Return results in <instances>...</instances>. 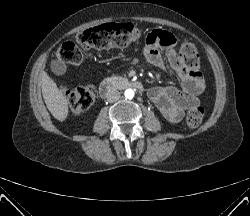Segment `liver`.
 <instances>
[{"label":"liver","mask_w":250,"mask_h":216,"mask_svg":"<svg viewBox=\"0 0 250 216\" xmlns=\"http://www.w3.org/2000/svg\"><path fill=\"white\" fill-rule=\"evenodd\" d=\"M40 81L42 95L48 110L54 118L59 121H64L69 112L66 96L46 72L41 73Z\"/></svg>","instance_id":"6515ba94"}]
</instances>
